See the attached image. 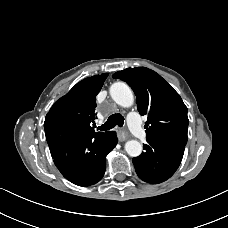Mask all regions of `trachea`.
I'll return each mask as SVG.
<instances>
[{
  "instance_id": "obj_1",
  "label": "trachea",
  "mask_w": 228,
  "mask_h": 228,
  "mask_svg": "<svg viewBox=\"0 0 228 228\" xmlns=\"http://www.w3.org/2000/svg\"><path fill=\"white\" fill-rule=\"evenodd\" d=\"M123 125H124V117L119 113H115V114H112L103 125L98 126L97 130L105 131V130L112 129L115 126L122 127Z\"/></svg>"
}]
</instances>
